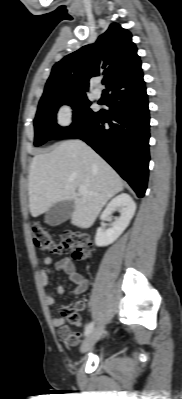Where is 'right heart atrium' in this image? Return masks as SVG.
I'll return each mask as SVG.
<instances>
[{
  "instance_id": "1",
  "label": "right heart atrium",
  "mask_w": 182,
  "mask_h": 399,
  "mask_svg": "<svg viewBox=\"0 0 182 399\" xmlns=\"http://www.w3.org/2000/svg\"><path fill=\"white\" fill-rule=\"evenodd\" d=\"M74 107L70 104L61 105L56 113V122L61 127H68L74 120Z\"/></svg>"
}]
</instances>
